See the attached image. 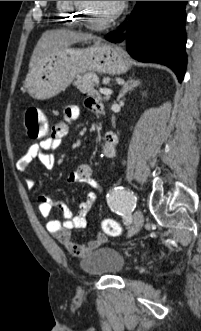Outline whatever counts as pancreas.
Returning <instances> with one entry per match:
<instances>
[{
  "label": "pancreas",
  "instance_id": "obj_1",
  "mask_svg": "<svg viewBox=\"0 0 201 331\" xmlns=\"http://www.w3.org/2000/svg\"><path fill=\"white\" fill-rule=\"evenodd\" d=\"M96 75L92 72L78 76L74 81V86L82 93H88L90 96H96L99 100H109V97L102 98L98 92L94 89Z\"/></svg>",
  "mask_w": 201,
  "mask_h": 331
}]
</instances>
